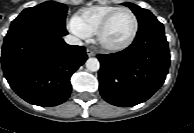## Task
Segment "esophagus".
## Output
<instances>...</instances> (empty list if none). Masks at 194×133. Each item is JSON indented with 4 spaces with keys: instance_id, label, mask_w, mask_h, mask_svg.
<instances>
[{
    "instance_id": "1",
    "label": "esophagus",
    "mask_w": 194,
    "mask_h": 133,
    "mask_svg": "<svg viewBox=\"0 0 194 133\" xmlns=\"http://www.w3.org/2000/svg\"><path fill=\"white\" fill-rule=\"evenodd\" d=\"M88 52V55L91 56L92 55V52L90 50H87Z\"/></svg>"
}]
</instances>
